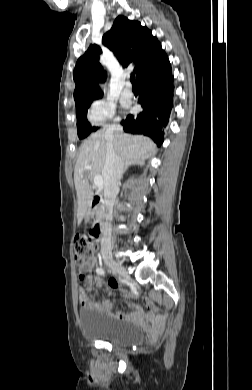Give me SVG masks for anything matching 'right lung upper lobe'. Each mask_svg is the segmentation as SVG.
I'll use <instances>...</instances> for the list:
<instances>
[{
	"instance_id": "obj_1",
	"label": "right lung upper lobe",
	"mask_w": 252,
	"mask_h": 390,
	"mask_svg": "<svg viewBox=\"0 0 252 390\" xmlns=\"http://www.w3.org/2000/svg\"><path fill=\"white\" fill-rule=\"evenodd\" d=\"M102 43L124 67L134 63L138 82L143 76L158 73L170 66L165 51L151 31L138 21H130L124 16L115 19L112 28L104 34ZM100 53L99 46L90 45L76 63L73 75L76 108L102 97L98 83L105 81L107 75L105 71H100Z\"/></svg>"
}]
</instances>
